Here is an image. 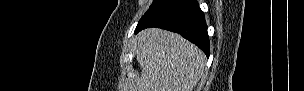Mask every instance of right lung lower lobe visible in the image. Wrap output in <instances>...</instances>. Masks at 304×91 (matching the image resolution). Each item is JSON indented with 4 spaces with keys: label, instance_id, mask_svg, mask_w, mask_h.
Returning a JSON list of instances; mask_svg holds the SVG:
<instances>
[{
    "label": "right lung lower lobe",
    "instance_id": "1",
    "mask_svg": "<svg viewBox=\"0 0 304 91\" xmlns=\"http://www.w3.org/2000/svg\"><path fill=\"white\" fill-rule=\"evenodd\" d=\"M149 27L179 33L207 56L210 54L204 14L195 0H155L138 22L135 33Z\"/></svg>",
    "mask_w": 304,
    "mask_h": 91
}]
</instances>
